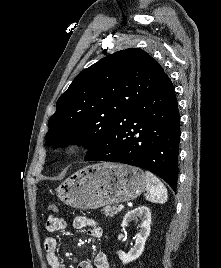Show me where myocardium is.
<instances>
[{
    "label": "myocardium",
    "mask_w": 221,
    "mask_h": 268,
    "mask_svg": "<svg viewBox=\"0 0 221 268\" xmlns=\"http://www.w3.org/2000/svg\"><path fill=\"white\" fill-rule=\"evenodd\" d=\"M77 149H78V145H72L70 148H69V152L70 153H74V152H76L77 151Z\"/></svg>",
    "instance_id": "1"
}]
</instances>
